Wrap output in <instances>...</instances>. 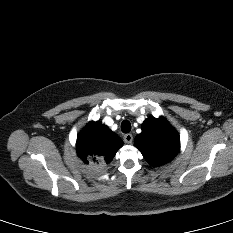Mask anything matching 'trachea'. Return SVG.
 I'll return each instance as SVG.
<instances>
[{
  "instance_id": "trachea-1",
  "label": "trachea",
  "mask_w": 233,
  "mask_h": 233,
  "mask_svg": "<svg viewBox=\"0 0 233 233\" xmlns=\"http://www.w3.org/2000/svg\"><path fill=\"white\" fill-rule=\"evenodd\" d=\"M121 130L123 133H129L131 131V124L128 120H124L121 123Z\"/></svg>"
}]
</instances>
